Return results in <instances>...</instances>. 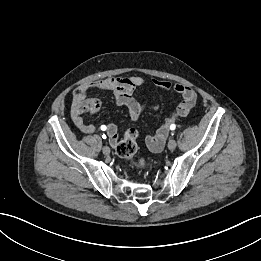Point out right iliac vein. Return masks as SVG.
<instances>
[{
    "label": "right iliac vein",
    "instance_id": "right-iliac-vein-1",
    "mask_svg": "<svg viewBox=\"0 0 261 261\" xmlns=\"http://www.w3.org/2000/svg\"><path fill=\"white\" fill-rule=\"evenodd\" d=\"M102 152L105 154V155H109L110 154V148L108 146H104L102 148Z\"/></svg>",
    "mask_w": 261,
    "mask_h": 261
}]
</instances>
